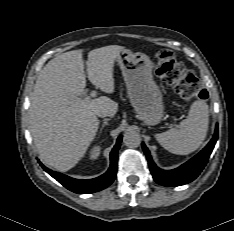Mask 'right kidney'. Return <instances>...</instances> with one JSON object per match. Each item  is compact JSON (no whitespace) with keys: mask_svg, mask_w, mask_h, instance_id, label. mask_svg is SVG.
<instances>
[{"mask_svg":"<svg viewBox=\"0 0 234 231\" xmlns=\"http://www.w3.org/2000/svg\"><path fill=\"white\" fill-rule=\"evenodd\" d=\"M101 151V147L99 145L93 146L90 150V159L95 160L99 157Z\"/></svg>","mask_w":234,"mask_h":231,"instance_id":"right-kidney-1","label":"right kidney"}]
</instances>
